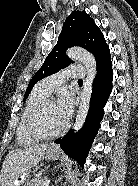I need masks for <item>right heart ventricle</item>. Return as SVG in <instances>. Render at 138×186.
Listing matches in <instances>:
<instances>
[{
  "instance_id": "e07e8e85",
  "label": "right heart ventricle",
  "mask_w": 138,
  "mask_h": 186,
  "mask_svg": "<svg viewBox=\"0 0 138 186\" xmlns=\"http://www.w3.org/2000/svg\"><path fill=\"white\" fill-rule=\"evenodd\" d=\"M49 95L48 92H46L43 87L41 86V83L39 82L34 90L32 91L31 95L29 96L26 106L23 110V113L21 115V119L17 128L16 132V139L17 143L20 146H30L34 144L38 139L30 136L26 131V120L31 112V110L43 99L47 98Z\"/></svg>"
}]
</instances>
